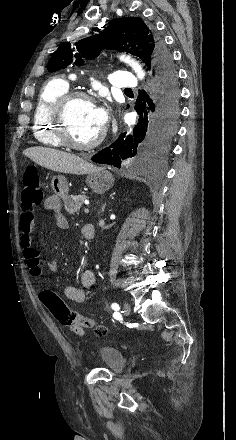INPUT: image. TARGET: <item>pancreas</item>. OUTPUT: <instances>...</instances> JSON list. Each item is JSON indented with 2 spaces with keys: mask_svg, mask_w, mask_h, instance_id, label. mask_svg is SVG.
Segmentation results:
<instances>
[{
  "mask_svg": "<svg viewBox=\"0 0 236 440\" xmlns=\"http://www.w3.org/2000/svg\"><path fill=\"white\" fill-rule=\"evenodd\" d=\"M87 197L85 195H70L64 198V206L69 214L78 213L79 209L83 205L84 200Z\"/></svg>",
  "mask_w": 236,
  "mask_h": 440,
  "instance_id": "pancreas-1",
  "label": "pancreas"
}]
</instances>
